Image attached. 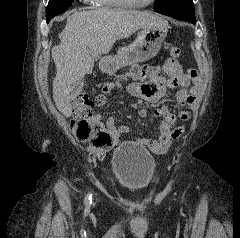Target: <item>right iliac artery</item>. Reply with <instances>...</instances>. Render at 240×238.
<instances>
[{"instance_id": "1", "label": "right iliac artery", "mask_w": 240, "mask_h": 238, "mask_svg": "<svg viewBox=\"0 0 240 238\" xmlns=\"http://www.w3.org/2000/svg\"><path fill=\"white\" fill-rule=\"evenodd\" d=\"M91 203H92V195L91 194H87V196L85 198V205L87 207H90Z\"/></svg>"}]
</instances>
